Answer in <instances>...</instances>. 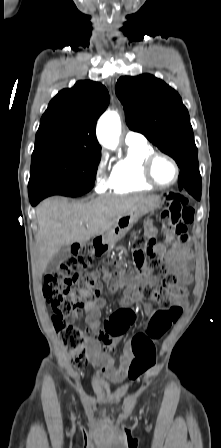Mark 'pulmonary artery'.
I'll use <instances>...</instances> for the list:
<instances>
[{
	"label": "pulmonary artery",
	"instance_id": "e3ab8cb5",
	"mask_svg": "<svg viewBox=\"0 0 221 448\" xmlns=\"http://www.w3.org/2000/svg\"><path fill=\"white\" fill-rule=\"evenodd\" d=\"M147 142L145 136L141 133L129 130L125 135L126 144H139Z\"/></svg>",
	"mask_w": 221,
	"mask_h": 448
}]
</instances>
